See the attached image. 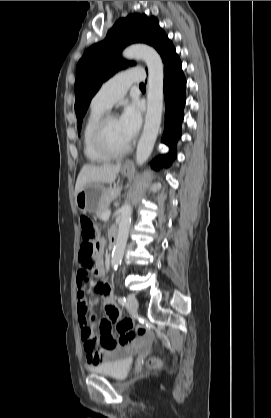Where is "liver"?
Wrapping results in <instances>:
<instances>
[{
  "instance_id": "obj_1",
  "label": "liver",
  "mask_w": 271,
  "mask_h": 418,
  "mask_svg": "<svg viewBox=\"0 0 271 418\" xmlns=\"http://www.w3.org/2000/svg\"><path fill=\"white\" fill-rule=\"evenodd\" d=\"M121 164L94 166L85 164L76 181L75 195L88 183L100 182L111 184L116 180L117 174L120 170Z\"/></svg>"
}]
</instances>
